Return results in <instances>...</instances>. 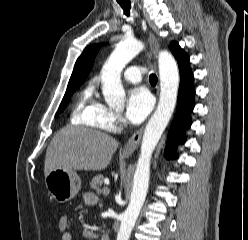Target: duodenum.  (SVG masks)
Listing matches in <instances>:
<instances>
[{
  "instance_id": "obj_1",
  "label": "duodenum",
  "mask_w": 248,
  "mask_h": 240,
  "mask_svg": "<svg viewBox=\"0 0 248 240\" xmlns=\"http://www.w3.org/2000/svg\"><path fill=\"white\" fill-rule=\"evenodd\" d=\"M99 239H100V240H111L110 236L107 235V234L101 235Z\"/></svg>"
}]
</instances>
